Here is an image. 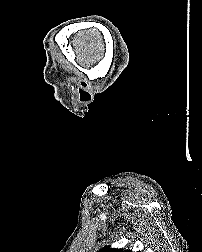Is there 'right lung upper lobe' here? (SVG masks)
<instances>
[{
  "label": "right lung upper lobe",
  "mask_w": 202,
  "mask_h": 252,
  "mask_svg": "<svg viewBox=\"0 0 202 252\" xmlns=\"http://www.w3.org/2000/svg\"><path fill=\"white\" fill-rule=\"evenodd\" d=\"M98 252H124L120 249H114V248H110L109 246L107 248H104L102 250H99ZM125 252H132L131 250H127Z\"/></svg>",
  "instance_id": "obj_1"
}]
</instances>
